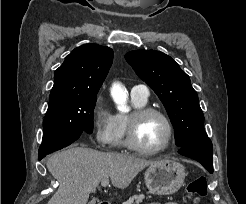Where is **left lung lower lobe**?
<instances>
[{"label":"left lung lower lobe","instance_id":"0a47b994","mask_svg":"<svg viewBox=\"0 0 246 204\" xmlns=\"http://www.w3.org/2000/svg\"><path fill=\"white\" fill-rule=\"evenodd\" d=\"M212 142L209 138L192 142L182 146L179 154L192 158L203 165L210 173H213Z\"/></svg>","mask_w":246,"mask_h":204}]
</instances>
